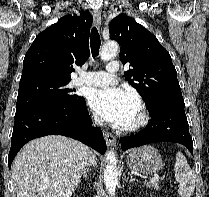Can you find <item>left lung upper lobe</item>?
Wrapping results in <instances>:
<instances>
[{"instance_id": "obj_1", "label": "left lung upper lobe", "mask_w": 209, "mask_h": 197, "mask_svg": "<svg viewBox=\"0 0 209 197\" xmlns=\"http://www.w3.org/2000/svg\"><path fill=\"white\" fill-rule=\"evenodd\" d=\"M110 38L121 45L120 59L132 67L124 73L147 109L164 100H183L177 72L168 51L133 18L120 14L109 25Z\"/></svg>"}]
</instances>
